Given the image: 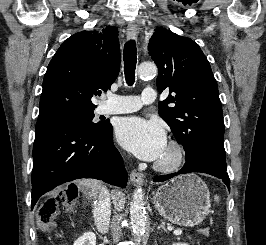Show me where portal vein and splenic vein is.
Instances as JSON below:
<instances>
[{"label":"portal vein and splenic vein","mask_w":266,"mask_h":245,"mask_svg":"<svg viewBox=\"0 0 266 245\" xmlns=\"http://www.w3.org/2000/svg\"><path fill=\"white\" fill-rule=\"evenodd\" d=\"M174 235H182V231H173Z\"/></svg>","instance_id":"obj_1"}]
</instances>
